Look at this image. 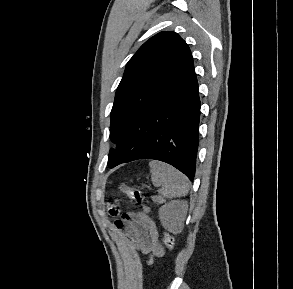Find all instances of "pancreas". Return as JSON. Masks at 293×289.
Returning <instances> with one entry per match:
<instances>
[{
    "instance_id": "pancreas-1",
    "label": "pancreas",
    "mask_w": 293,
    "mask_h": 289,
    "mask_svg": "<svg viewBox=\"0 0 293 289\" xmlns=\"http://www.w3.org/2000/svg\"><path fill=\"white\" fill-rule=\"evenodd\" d=\"M152 199L155 201V202H161L162 199L158 196H153Z\"/></svg>"
}]
</instances>
